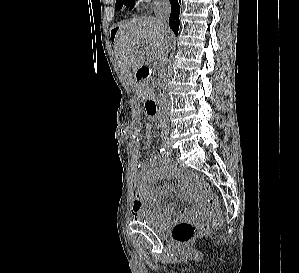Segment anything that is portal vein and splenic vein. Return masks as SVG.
Segmentation results:
<instances>
[{"label":"portal vein and splenic vein","instance_id":"portal-vein-and-splenic-vein-1","mask_svg":"<svg viewBox=\"0 0 299 273\" xmlns=\"http://www.w3.org/2000/svg\"><path fill=\"white\" fill-rule=\"evenodd\" d=\"M145 49H147V46L145 45ZM149 60L151 61V60H153L152 58H149Z\"/></svg>","mask_w":299,"mask_h":273}]
</instances>
